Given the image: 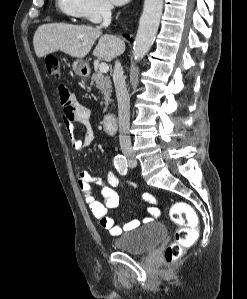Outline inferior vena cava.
I'll use <instances>...</instances> for the list:
<instances>
[{
	"instance_id": "602c4592",
	"label": "inferior vena cava",
	"mask_w": 247,
	"mask_h": 299,
	"mask_svg": "<svg viewBox=\"0 0 247 299\" xmlns=\"http://www.w3.org/2000/svg\"><path fill=\"white\" fill-rule=\"evenodd\" d=\"M111 5L104 3L101 7L103 22L99 28L108 27L111 23ZM113 81L118 102L119 142L124 154L132 153L131 138L129 136L130 126V99L123 76V67L119 61L115 62Z\"/></svg>"
}]
</instances>
